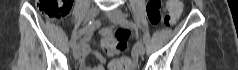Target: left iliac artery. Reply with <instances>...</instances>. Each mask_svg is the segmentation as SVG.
Segmentation results:
<instances>
[{
    "instance_id": "left-iliac-artery-1",
    "label": "left iliac artery",
    "mask_w": 238,
    "mask_h": 70,
    "mask_svg": "<svg viewBox=\"0 0 238 70\" xmlns=\"http://www.w3.org/2000/svg\"><path fill=\"white\" fill-rule=\"evenodd\" d=\"M124 25L127 26V27H130V28H133L135 30H138V25H136L135 23H133L132 21H128V20H125L124 21ZM150 34L149 33H146L145 34V37L142 38V41L144 42L143 44L145 45L146 43L145 42H149L150 41Z\"/></svg>"
}]
</instances>
